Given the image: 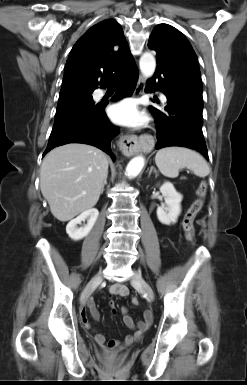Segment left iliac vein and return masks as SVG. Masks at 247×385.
I'll list each match as a JSON object with an SVG mask.
<instances>
[{"instance_id": "1", "label": "left iliac vein", "mask_w": 247, "mask_h": 385, "mask_svg": "<svg viewBox=\"0 0 247 385\" xmlns=\"http://www.w3.org/2000/svg\"><path fill=\"white\" fill-rule=\"evenodd\" d=\"M131 283L142 290V292L147 296V299L153 301L155 299V294L151 286L146 282L142 277L141 273L138 271H133L131 278Z\"/></svg>"}]
</instances>
